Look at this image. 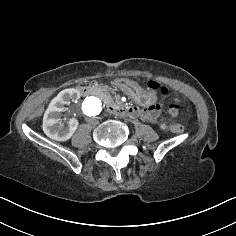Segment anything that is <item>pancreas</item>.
<instances>
[{"label": "pancreas", "instance_id": "cf45deb5", "mask_svg": "<svg viewBox=\"0 0 236 236\" xmlns=\"http://www.w3.org/2000/svg\"><path fill=\"white\" fill-rule=\"evenodd\" d=\"M97 96H99L106 103L111 98L109 91L104 85L98 88Z\"/></svg>", "mask_w": 236, "mask_h": 236}]
</instances>
